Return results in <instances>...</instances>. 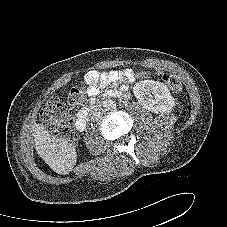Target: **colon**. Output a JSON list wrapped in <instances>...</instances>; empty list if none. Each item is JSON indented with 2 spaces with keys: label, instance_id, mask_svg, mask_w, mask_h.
I'll use <instances>...</instances> for the list:
<instances>
[{
  "label": "colon",
  "instance_id": "colon-1",
  "mask_svg": "<svg viewBox=\"0 0 227 227\" xmlns=\"http://www.w3.org/2000/svg\"><path fill=\"white\" fill-rule=\"evenodd\" d=\"M165 84L174 92H179L182 88L179 78L171 73H159ZM87 96L84 85L72 87L67 99L71 104H82ZM41 119L47 127L49 133L54 137L62 138L72 145H76L77 138L69 125V116L65 104L58 97H50L41 110Z\"/></svg>",
  "mask_w": 227,
  "mask_h": 227
}]
</instances>
